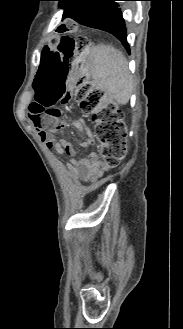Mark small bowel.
I'll return each mask as SVG.
<instances>
[{
    "label": "small bowel",
    "mask_w": 183,
    "mask_h": 329,
    "mask_svg": "<svg viewBox=\"0 0 183 329\" xmlns=\"http://www.w3.org/2000/svg\"><path fill=\"white\" fill-rule=\"evenodd\" d=\"M29 118L32 124L37 128L40 137L45 140L46 146L50 149H53L59 155H65L70 161L69 168L75 171L82 180L92 181L101 176L103 171L102 166L98 162V156L95 153H91L85 157H77V151L68 140L61 139L56 141L48 138V134L53 132L43 131L42 127L48 124L43 117L38 115H31L29 113ZM78 127L82 132L87 134L86 139L81 142V146L89 147L93 144V137L91 133L82 123H78ZM59 128L60 127H58V129ZM59 131L64 133V127L62 126Z\"/></svg>",
    "instance_id": "obj_1"
}]
</instances>
